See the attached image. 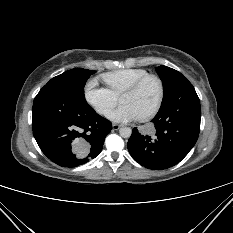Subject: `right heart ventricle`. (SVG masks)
Listing matches in <instances>:
<instances>
[{"label": "right heart ventricle", "instance_id": "1", "mask_svg": "<svg viewBox=\"0 0 233 233\" xmlns=\"http://www.w3.org/2000/svg\"><path fill=\"white\" fill-rule=\"evenodd\" d=\"M147 74L149 72L145 69L128 68L105 73L101 78L108 86V89L116 96H119L124 89Z\"/></svg>", "mask_w": 233, "mask_h": 233}]
</instances>
